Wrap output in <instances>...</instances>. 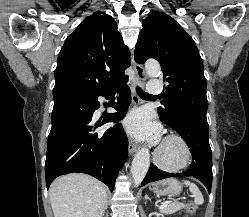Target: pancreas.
Wrapping results in <instances>:
<instances>
[{
    "label": "pancreas",
    "instance_id": "1",
    "mask_svg": "<svg viewBox=\"0 0 249 217\" xmlns=\"http://www.w3.org/2000/svg\"><path fill=\"white\" fill-rule=\"evenodd\" d=\"M184 203H170L164 209L161 210L164 214H173L183 208H185Z\"/></svg>",
    "mask_w": 249,
    "mask_h": 217
}]
</instances>
